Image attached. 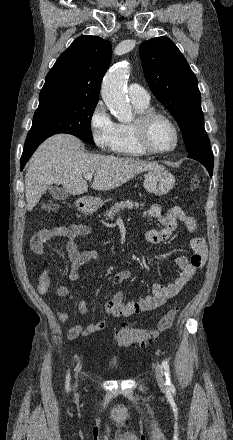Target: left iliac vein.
<instances>
[{
	"label": "left iliac vein",
	"mask_w": 233,
	"mask_h": 440,
	"mask_svg": "<svg viewBox=\"0 0 233 440\" xmlns=\"http://www.w3.org/2000/svg\"><path fill=\"white\" fill-rule=\"evenodd\" d=\"M155 376L160 389L164 391L166 389V382L160 366L155 368Z\"/></svg>",
	"instance_id": "left-iliac-vein-1"
}]
</instances>
